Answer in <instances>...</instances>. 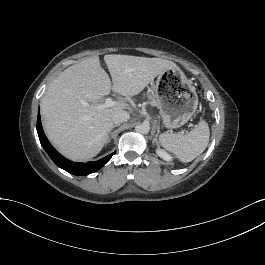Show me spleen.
<instances>
[{
	"mask_svg": "<svg viewBox=\"0 0 265 265\" xmlns=\"http://www.w3.org/2000/svg\"><path fill=\"white\" fill-rule=\"evenodd\" d=\"M159 141L165 149L174 153L179 160L189 162L201 154L207 147L209 128L202 121L196 128L185 135L180 133H162L159 136Z\"/></svg>",
	"mask_w": 265,
	"mask_h": 265,
	"instance_id": "3e777b00",
	"label": "spleen"
}]
</instances>
